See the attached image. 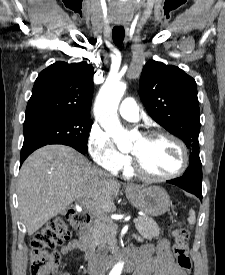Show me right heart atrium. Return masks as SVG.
Listing matches in <instances>:
<instances>
[{
	"instance_id": "d8ad5b80",
	"label": "right heart atrium",
	"mask_w": 225,
	"mask_h": 275,
	"mask_svg": "<svg viewBox=\"0 0 225 275\" xmlns=\"http://www.w3.org/2000/svg\"><path fill=\"white\" fill-rule=\"evenodd\" d=\"M88 149L100 168L116 172L127 168L130 163V157L120 152L109 134L97 125L90 130Z\"/></svg>"
}]
</instances>
